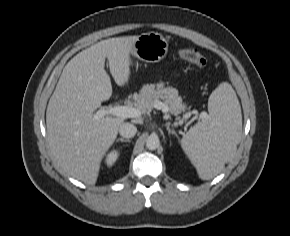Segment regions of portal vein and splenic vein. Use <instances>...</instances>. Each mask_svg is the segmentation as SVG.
Returning a JSON list of instances; mask_svg holds the SVG:
<instances>
[{
	"mask_svg": "<svg viewBox=\"0 0 290 236\" xmlns=\"http://www.w3.org/2000/svg\"><path fill=\"white\" fill-rule=\"evenodd\" d=\"M153 107L157 110H161L163 113L166 114V117H167V113L169 112V107L165 103L157 100L154 102ZM143 113H144L143 110L139 107L118 105V106H111L106 109L104 108L99 109L94 114V120H99L100 118L106 115L119 116V117H124V118H136V117L141 116ZM189 116H190L189 114L185 115V118H188Z\"/></svg>",
	"mask_w": 290,
	"mask_h": 236,
	"instance_id": "obj_1",
	"label": "portal vein and splenic vein"
}]
</instances>
